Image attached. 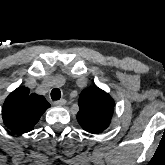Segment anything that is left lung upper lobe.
Masks as SVG:
<instances>
[{"label": "left lung upper lobe", "instance_id": "obj_1", "mask_svg": "<svg viewBox=\"0 0 165 165\" xmlns=\"http://www.w3.org/2000/svg\"><path fill=\"white\" fill-rule=\"evenodd\" d=\"M77 120L89 133L98 134L108 128L113 115L114 101L97 86L84 89L79 96Z\"/></svg>", "mask_w": 165, "mask_h": 165}]
</instances>
